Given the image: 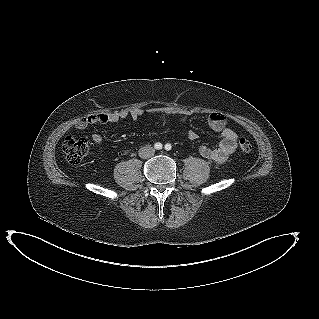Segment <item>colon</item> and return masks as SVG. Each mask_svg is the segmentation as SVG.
<instances>
[{
	"mask_svg": "<svg viewBox=\"0 0 319 319\" xmlns=\"http://www.w3.org/2000/svg\"><path fill=\"white\" fill-rule=\"evenodd\" d=\"M239 146L244 152H250L252 149L251 142L246 138L239 140ZM62 149L69 163L78 164L87 156L89 143L82 137L68 136L62 144Z\"/></svg>",
	"mask_w": 319,
	"mask_h": 319,
	"instance_id": "colon-1",
	"label": "colon"
}]
</instances>
